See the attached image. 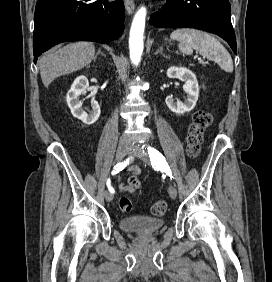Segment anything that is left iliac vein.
I'll use <instances>...</instances> for the list:
<instances>
[{
	"label": "left iliac vein",
	"mask_w": 272,
	"mask_h": 282,
	"mask_svg": "<svg viewBox=\"0 0 272 282\" xmlns=\"http://www.w3.org/2000/svg\"><path fill=\"white\" fill-rule=\"evenodd\" d=\"M130 152L139 157L145 163H149V159L147 157V151L142 149L137 143L132 142L130 144ZM168 193L171 198L175 199L177 197V189L174 185H169Z\"/></svg>",
	"instance_id": "4c4485c4"
}]
</instances>
